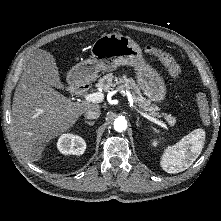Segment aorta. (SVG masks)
I'll list each match as a JSON object with an SVG mask.
<instances>
[{"instance_id":"obj_1","label":"aorta","mask_w":221,"mask_h":221,"mask_svg":"<svg viewBox=\"0 0 221 221\" xmlns=\"http://www.w3.org/2000/svg\"><path fill=\"white\" fill-rule=\"evenodd\" d=\"M127 128V121L124 117H118L114 121V129L117 132H123Z\"/></svg>"}]
</instances>
